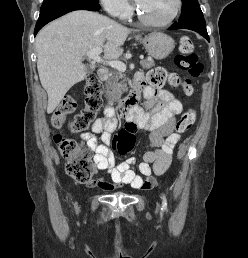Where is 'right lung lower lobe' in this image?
Listing matches in <instances>:
<instances>
[{"label":"right lung lower lobe","mask_w":248,"mask_h":258,"mask_svg":"<svg viewBox=\"0 0 248 258\" xmlns=\"http://www.w3.org/2000/svg\"><path fill=\"white\" fill-rule=\"evenodd\" d=\"M100 9L99 3L94 2H78L62 7H58L52 10H49L45 13L40 14L39 19L36 23V27L34 30V36L37 34V32L47 23L50 21L74 10H91V11H97Z\"/></svg>","instance_id":"98d812e1"}]
</instances>
